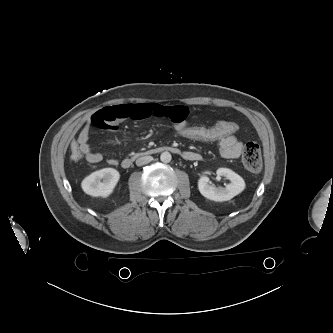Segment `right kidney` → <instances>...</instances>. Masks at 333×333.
Listing matches in <instances>:
<instances>
[{"label":"right kidney","mask_w":333,"mask_h":333,"mask_svg":"<svg viewBox=\"0 0 333 333\" xmlns=\"http://www.w3.org/2000/svg\"><path fill=\"white\" fill-rule=\"evenodd\" d=\"M120 178L119 172L114 168H103L85 177L81 183L83 191L91 196H109Z\"/></svg>","instance_id":"1"}]
</instances>
